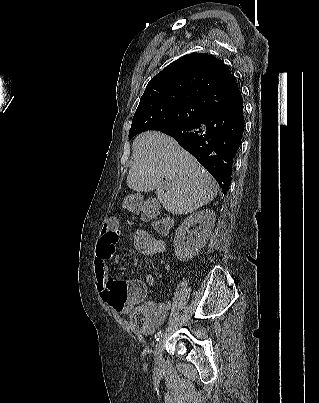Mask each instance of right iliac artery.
Listing matches in <instances>:
<instances>
[{
    "mask_svg": "<svg viewBox=\"0 0 319 403\" xmlns=\"http://www.w3.org/2000/svg\"><path fill=\"white\" fill-rule=\"evenodd\" d=\"M161 337H162V331H158V332L155 334V341H159Z\"/></svg>",
    "mask_w": 319,
    "mask_h": 403,
    "instance_id": "82829eb1",
    "label": "right iliac artery"
}]
</instances>
